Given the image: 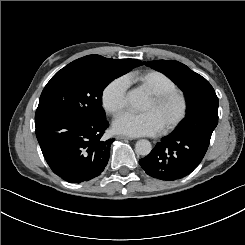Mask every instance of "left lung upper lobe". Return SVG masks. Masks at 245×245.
Here are the masks:
<instances>
[{
	"instance_id": "5c2ea615",
	"label": "left lung upper lobe",
	"mask_w": 245,
	"mask_h": 245,
	"mask_svg": "<svg viewBox=\"0 0 245 245\" xmlns=\"http://www.w3.org/2000/svg\"><path fill=\"white\" fill-rule=\"evenodd\" d=\"M144 63L146 66L162 72L179 86L185 95L186 110L194 108L198 100L203 99L207 93L214 90L205 78L178 61L156 60Z\"/></svg>"
}]
</instances>
